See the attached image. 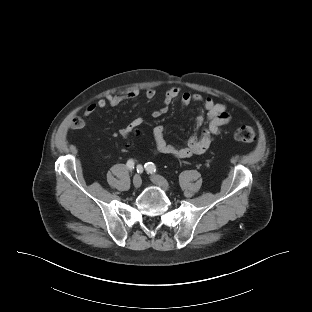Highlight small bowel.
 Masks as SVG:
<instances>
[{"label": "small bowel", "instance_id": "1", "mask_svg": "<svg viewBox=\"0 0 312 312\" xmlns=\"http://www.w3.org/2000/svg\"><path fill=\"white\" fill-rule=\"evenodd\" d=\"M138 95L139 91L137 89H130L113 95H107L105 98L89 104L85 108L84 115L89 117L98 109H104L108 105L117 106L125 100L138 97ZM145 96L149 100L154 99L156 90L152 87L146 89ZM177 98L180 99V103L183 107H187L191 103L200 104V111L195 119L193 134L187 139L183 146L167 142L162 125H155L153 127L152 136L156 152L179 159H185L206 152L214 138L219 135L222 128L230 122L231 115L224 104L216 102L211 97H204L201 94L188 91L181 92L179 87L172 86L166 90L162 106L154 110L152 116L158 118L165 114L169 110L170 105ZM142 124L143 119L141 117H136L119 129V135L123 139H126Z\"/></svg>", "mask_w": 312, "mask_h": 312}]
</instances>
